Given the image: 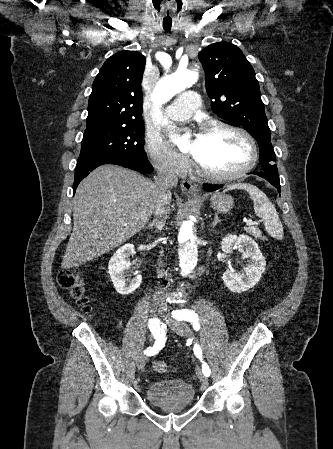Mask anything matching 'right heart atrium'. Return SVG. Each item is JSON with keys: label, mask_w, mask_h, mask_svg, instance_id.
<instances>
[{"label": "right heart atrium", "mask_w": 333, "mask_h": 449, "mask_svg": "<svg viewBox=\"0 0 333 449\" xmlns=\"http://www.w3.org/2000/svg\"><path fill=\"white\" fill-rule=\"evenodd\" d=\"M145 151L152 165L164 173L180 176L189 167L186 157L174 151L156 135H146Z\"/></svg>", "instance_id": "obj_1"}]
</instances>
